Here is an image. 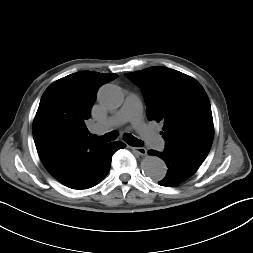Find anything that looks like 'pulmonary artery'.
<instances>
[{"instance_id":"1","label":"pulmonary artery","mask_w":253,"mask_h":253,"mask_svg":"<svg viewBox=\"0 0 253 253\" xmlns=\"http://www.w3.org/2000/svg\"><path fill=\"white\" fill-rule=\"evenodd\" d=\"M141 114V101L136 95L131 94L126 98L122 108L116 114L103 122L95 124L93 130L99 132L101 129H106L130 121L134 126L139 128V131L148 146L161 150L164 147V140L158 134L149 130L141 122Z\"/></svg>"}]
</instances>
